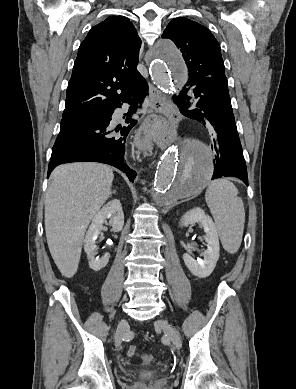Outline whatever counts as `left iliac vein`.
<instances>
[{
  "label": "left iliac vein",
  "mask_w": 296,
  "mask_h": 389,
  "mask_svg": "<svg viewBox=\"0 0 296 389\" xmlns=\"http://www.w3.org/2000/svg\"><path fill=\"white\" fill-rule=\"evenodd\" d=\"M156 327L160 328L165 336L174 344L176 348H181L182 341L177 331L171 327L166 320H157L155 322Z\"/></svg>",
  "instance_id": "1"
}]
</instances>
